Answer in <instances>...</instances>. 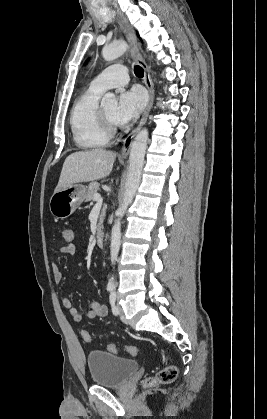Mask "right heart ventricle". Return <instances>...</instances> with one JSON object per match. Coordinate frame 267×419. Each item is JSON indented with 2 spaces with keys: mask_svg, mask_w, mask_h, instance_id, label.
<instances>
[{
  "mask_svg": "<svg viewBox=\"0 0 267 419\" xmlns=\"http://www.w3.org/2000/svg\"><path fill=\"white\" fill-rule=\"evenodd\" d=\"M103 92L89 87L75 101L70 125L75 143L82 149L106 146L110 136L103 130L99 119V99Z\"/></svg>",
  "mask_w": 267,
  "mask_h": 419,
  "instance_id": "1",
  "label": "right heart ventricle"
}]
</instances>
